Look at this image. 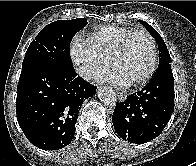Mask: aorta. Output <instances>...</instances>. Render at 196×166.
I'll return each mask as SVG.
<instances>
[{
  "label": "aorta",
  "instance_id": "1",
  "mask_svg": "<svg viewBox=\"0 0 196 166\" xmlns=\"http://www.w3.org/2000/svg\"><path fill=\"white\" fill-rule=\"evenodd\" d=\"M98 97L105 105L110 107H114L117 103L116 93L110 87L99 89Z\"/></svg>",
  "mask_w": 196,
  "mask_h": 166
}]
</instances>
